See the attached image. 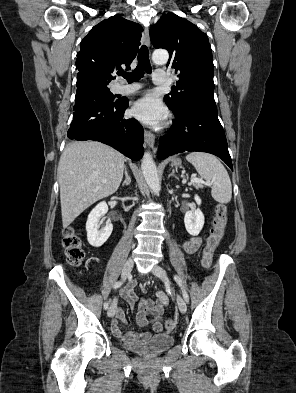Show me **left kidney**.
Masks as SVG:
<instances>
[{"label": "left kidney", "instance_id": "1", "mask_svg": "<svg viewBox=\"0 0 296 393\" xmlns=\"http://www.w3.org/2000/svg\"><path fill=\"white\" fill-rule=\"evenodd\" d=\"M194 199L198 205H201V199L198 195H195ZM204 220V215L200 209L186 212L184 224L187 232L192 236H197L204 226Z\"/></svg>", "mask_w": 296, "mask_h": 393}]
</instances>
